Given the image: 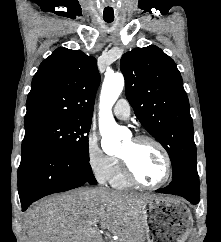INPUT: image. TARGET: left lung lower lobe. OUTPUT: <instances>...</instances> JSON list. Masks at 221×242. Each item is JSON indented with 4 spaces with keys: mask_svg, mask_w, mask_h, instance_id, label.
Listing matches in <instances>:
<instances>
[{
    "mask_svg": "<svg viewBox=\"0 0 221 242\" xmlns=\"http://www.w3.org/2000/svg\"><path fill=\"white\" fill-rule=\"evenodd\" d=\"M156 192L179 195L194 205L198 204L200 188L197 166L187 168L177 177L173 178L167 187L158 189Z\"/></svg>",
    "mask_w": 221,
    "mask_h": 242,
    "instance_id": "1",
    "label": "left lung lower lobe"
}]
</instances>
